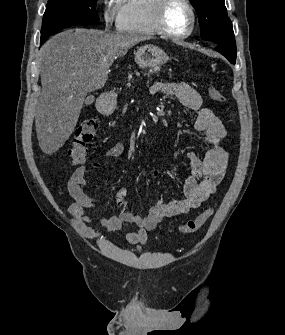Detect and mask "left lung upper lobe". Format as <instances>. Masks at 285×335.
<instances>
[{
	"label": "left lung upper lobe",
	"instance_id": "left-lung-upper-lobe-1",
	"mask_svg": "<svg viewBox=\"0 0 285 335\" xmlns=\"http://www.w3.org/2000/svg\"><path fill=\"white\" fill-rule=\"evenodd\" d=\"M196 9L201 37L223 49L235 48L232 23L227 16L224 0H190Z\"/></svg>",
	"mask_w": 285,
	"mask_h": 335
}]
</instances>
